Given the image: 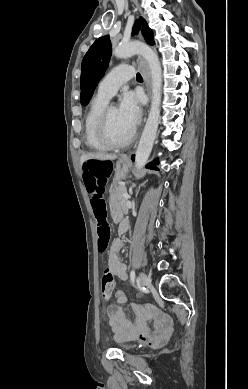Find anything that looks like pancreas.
<instances>
[{
    "instance_id": "1",
    "label": "pancreas",
    "mask_w": 248,
    "mask_h": 389,
    "mask_svg": "<svg viewBox=\"0 0 248 389\" xmlns=\"http://www.w3.org/2000/svg\"><path fill=\"white\" fill-rule=\"evenodd\" d=\"M116 196H117V199L119 201V205L120 207L122 208V211L124 213H127V207H126V201H127V198L124 197V193L126 192V187L123 185V184H114L112 186Z\"/></svg>"
}]
</instances>
